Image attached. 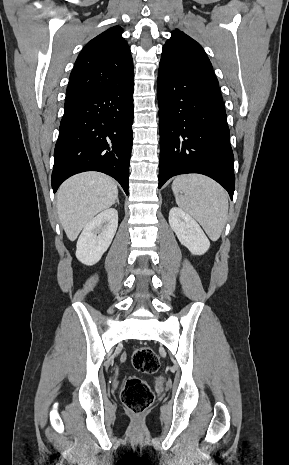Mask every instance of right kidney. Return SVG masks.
Segmentation results:
<instances>
[{
  "instance_id": "obj_1",
  "label": "right kidney",
  "mask_w": 289,
  "mask_h": 465,
  "mask_svg": "<svg viewBox=\"0 0 289 465\" xmlns=\"http://www.w3.org/2000/svg\"><path fill=\"white\" fill-rule=\"evenodd\" d=\"M117 227L116 209L109 208L98 214L84 227L77 241V259L85 265L97 263L110 246Z\"/></svg>"
}]
</instances>
